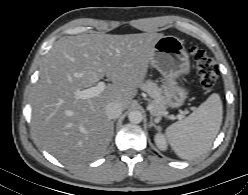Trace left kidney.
Returning a JSON list of instances; mask_svg holds the SVG:
<instances>
[{"instance_id": "obj_1", "label": "left kidney", "mask_w": 248, "mask_h": 195, "mask_svg": "<svg viewBox=\"0 0 248 195\" xmlns=\"http://www.w3.org/2000/svg\"><path fill=\"white\" fill-rule=\"evenodd\" d=\"M155 143L157 145V147L160 149V150H166L167 149V142L164 138V136L160 133H157L155 135Z\"/></svg>"}]
</instances>
